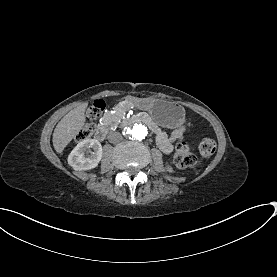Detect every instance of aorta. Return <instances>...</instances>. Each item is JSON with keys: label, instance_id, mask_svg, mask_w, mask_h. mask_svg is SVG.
I'll list each match as a JSON object with an SVG mask.
<instances>
[{"label": "aorta", "instance_id": "aorta-1", "mask_svg": "<svg viewBox=\"0 0 277 277\" xmlns=\"http://www.w3.org/2000/svg\"><path fill=\"white\" fill-rule=\"evenodd\" d=\"M125 134L131 139L140 141L147 136L148 129L143 124L135 123L126 128Z\"/></svg>", "mask_w": 277, "mask_h": 277}]
</instances>
